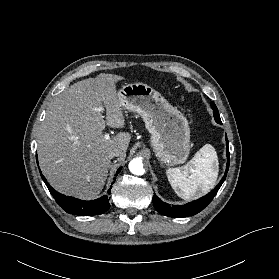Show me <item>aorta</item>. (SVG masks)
<instances>
[{"label": "aorta", "instance_id": "762f6f07", "mask_svg": "<svg viewBox=\"0 0 279 279\" xmlns=\"http://www.w3.org/2000/svg\"><path fill=\"white\" fill-rule=\"evenodd\" d=\"M129 170L134 175H143L145 173V169L142 163V159L135 158L129 163Z\"/></svg>", "mask_w": 279, "mask_h": 279}]
</instances>
